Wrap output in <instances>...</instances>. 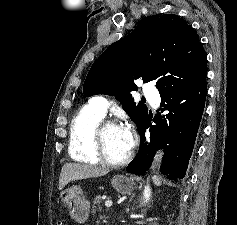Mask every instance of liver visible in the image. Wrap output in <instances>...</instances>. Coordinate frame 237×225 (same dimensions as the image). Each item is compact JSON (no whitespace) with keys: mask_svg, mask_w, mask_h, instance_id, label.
Wrapping results in <instances>:
<instances>
[{"mask_svg":"<svg viewBox=\"0 0 237 225\" xmlns=\"http://www.w3.org/2000/svg\"><path fill=\"white\" fill-rule=\"evenodd\" d=\"M109 173V169L91 165L66 163L63 165L59 177V190L74 180H81L93 177L104 176Z\"/></svg>","mask_w":237,"mask_h":225,"instance_id":"6515ba94","label":"liver"}]
</instances>
